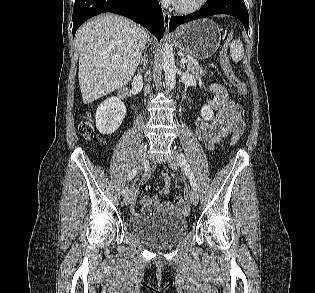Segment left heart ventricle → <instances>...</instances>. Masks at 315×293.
Returning <instances> with one entry per match:
<instances>
[{"label":"left heart ventricle","instance_id":"obj_1","mask_svg":"<svg viewBox=\"0 0 315 293\" xmlns=\"http://www.w3.org/2000/svg\"><path fill=\"white\" fill-rule=\"evenodd\" d=\"M197 0H176V2L183 6H189L196 2Z\"/></svg>","mask_w":315,"mask_h":293}]
</instances>
